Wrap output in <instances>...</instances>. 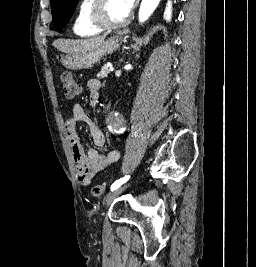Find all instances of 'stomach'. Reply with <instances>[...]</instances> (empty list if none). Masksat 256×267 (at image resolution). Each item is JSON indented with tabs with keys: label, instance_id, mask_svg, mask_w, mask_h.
<instances>
[{
	"label": "stomach",
	"instance_id": "0dacf381",
	"mask_svg": "<svg viewBox=\"0 0 256 267\" xmlns=\"http://www.w3.org/2000/svg\"><path fill=\"white\" fill-rule=\"evenodd\" d=\"M125 40V30L115 32L111 38H107V40L102 42L97 48H89L87 52H82V54H71V56H68L70 62H61V67H71V70H85V68H89V66L100 62L104 56L116 52Z\"/></svg>",
	"mask_w": 256,
	"mask_h": 267
}]
</instances>
